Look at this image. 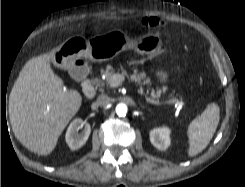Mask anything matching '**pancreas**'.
<instances>
[{
	"label": "pancreas",
	"instance_id": "obj_1",
	"mask_svg": "<svg viewBox=\"0 0 245 187\" xmlns=\"http://www.w3.org/2000/svg\"><path fill=\"white\" fill-rule=\"evenodd\" d=\"M101 72L105 76V81L98 80L97 85L100 87L104 86L105 84L111 86L112 76L115 74L113 67L111 65H107L105 69H101ZM131 79L137 84L151 83L150 78L146 77L145 73H138L136 70H134ZM160 95H161V91L159 90L155 93V98L159 99Z\"/></svg>",
	"mask_w": 245,
	"mask_h": 187
}]
</instances>
